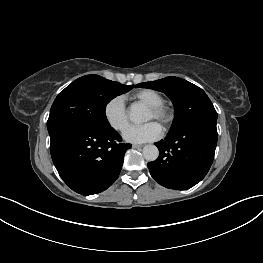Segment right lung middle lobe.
Listing matches in <instances>:
<instances>
[{"label": "right lung middle lobe", "instance_id": "right-lung-middle-lobe-1", "mask_svg": "<svg viewBox=\"0 0 263 263\" xmlns=\"http://www.w3.org/2000/svg\"><path fill=\"white\" fill-rule=\"evenodd\" d=\"M134 85H124L98 75L78 78L59 93L50 110L47 128L60 123H83L99 128L110 127L106 105Z\"/></svg>", "mask_w": 263, "mask_h": 263}]
</instances>
